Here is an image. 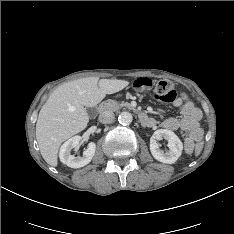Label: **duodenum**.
Returning a JSON list of instances; mask_svg holds the SVG:
<instances>
[{
    "instance_id": "410a0bca",
    "label": "duodenum",
    "mask_w": 234,
    "mask_h": 234,
    "mask_svg": "<svg viewBox=\"0 0 234 234\" xmlns=\"http://www.w3.org/2000/svg\"><path fill=\"white\" fill-rule=\"evenodd\" d=\"M109 109H110V104H103L100 107V112H106ZM138 116H139V119H140V121H141L142 124L146 125V124L149 123L150 119H149V117L146 114L139 113Z\"/></svg>"
}]
</instances>
